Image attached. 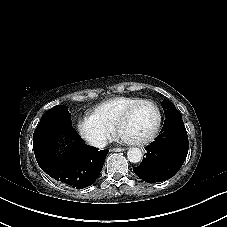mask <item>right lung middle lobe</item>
Returning <instances> with one entry per match:
<instances>
[{"label":"right lung middle lobe","mask_w":227,"mask_h":227,"mask_svg":"<svg viewBox=\"0 0 227 227\" xmlns=\"http://www.w3.org/2000/svg\"><path fill=\"white\" fill-rule=\"evenodd\" d=\"M45 127H57L71 139H81V137L72 128L71 114L68 112V107L57 105L49 109L41 118L36 130ZM34 149V148H33Z\"/></svg>","instance_id":"dd1d6c3e"}]
</instances>
